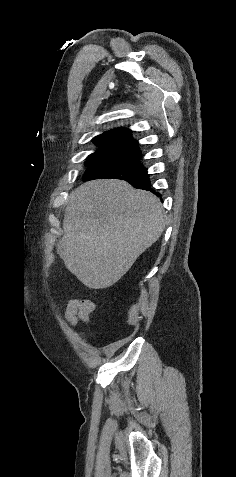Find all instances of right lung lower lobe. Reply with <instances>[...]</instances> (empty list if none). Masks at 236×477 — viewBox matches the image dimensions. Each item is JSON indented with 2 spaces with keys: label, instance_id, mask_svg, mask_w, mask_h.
<instances>
[{
  "label": "right lung lower lobe",
  "instance_id": "right-lung-lower-lobe-1",
  "mask_svg": "<svg viewBox=\"0 0 236 477\" xmlns=\"http://www.w3.org/2000/svg\"><path fill=\"white\" fill-rule=\"evenodd\" d=\"M104 178L122 179L137 189L152 191L147 170L139 162Z\"/></svg>",
  "mask_w": 236,
  "mask_h": 477
}]
</instances>
